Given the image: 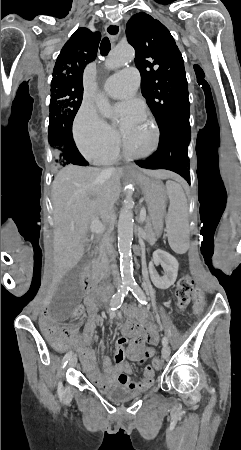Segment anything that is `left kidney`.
<instances>
[{
  "mask_svg": "<svg viewBox=\"0 0 241 450\" xmlns=\"http://www.w3.org/2000/svg\"><path fill=\"white\" fill-rule=\"evenodd\" d=\"M155 266H162L163 270H165L164 276H159ZM178 268L179 264L176 258L168 254V252H163V250L153 252V258L149 264V274L154 286L159 288V290H167V288L173 286L174 282H176Z\"/></svg>",
  "mask_w": 241,
  "mask_h": 450,
  "instance_id": "1",
  "label": "left kidney"
}]
</instances>
